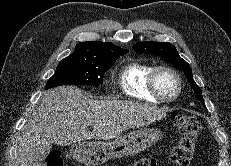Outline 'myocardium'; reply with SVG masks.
Instances as JSON below:
<instances>
[{
  "label": "myocardium",
  "mask_w": 231,
  "mask_h": 166,
  "mask_svg": "<svg viewBox=\"0 0 231 166\" xmlns=\"http://www.w3.org/2000/svg\"><path fill=\"white\" fill-rule=\"evenodd\" d=\"M162 71L170 73L175 78L177 83L176 92L174 93V95L170 97L163 95L157 86V78L159 73ZM182 87H183V81L178 71L167 65H160L154 67L148 78V88L150 93L161 102H172L176 100L182 91Z\"/></svg>",
  "instance_id": "f54148a6"
}]
</instances>
